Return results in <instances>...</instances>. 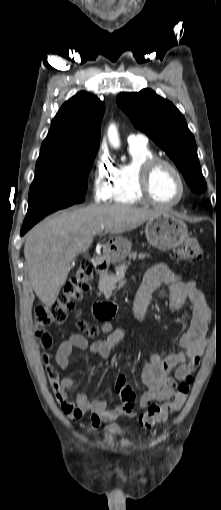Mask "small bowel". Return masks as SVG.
<instances>
[{"label": "small bowel", "mask_w": 221, "mask_h": 510, "mask_svg": "<svg viewBox=\"0 0 221 510\" xmlns=\"http://www.w3.org/2000/svg\"><path fill=\"white\" fill-rule=\"evenodd\" d=\"M169 286V308L172 311L186 307L190 312L189 326L177 340L178 352L165 357L150 356L142 365V381L146 390L137 400L133 389L127 384L124 374L119 373L115 380V392L122 404L109 408L101 399L89 400L84 392L75 395L71 401L68 391L76 384L73 377H60L58 368L67 370L74 349L88 350L102 359H107L122 344L125 329H118L105 339L89 343L82 335L73 334L63 341L55 354L58 366H52L58 375L54 387L55 396L64 414L73 422L79 421L86 413L91 414L93 426L100 421L115 422L120 416H135L151 402L165 401L175 394L176 380H183L200 364L210 334V309L203 293L193 280H184L183 276L165 264L148 269L135 297L137 319L145 320L147 300L150 293L161 285ZM175 370L174 377L171 371Z\"/></svg>", "instance_id": "c3829d8e"}]
</instances>
